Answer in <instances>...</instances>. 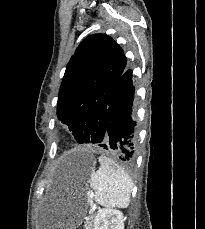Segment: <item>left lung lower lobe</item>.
<instances>
[{
  "mask_svg": "<svg viewBox=\"0 0 205 229\" xmlns=\"http://www.w3.org/2000/svg\"><path fill=\"white\" fill-rule=\"evenodd\" d=\"M134 91L132 71L125 69L111 92L103 124L88 130L91 143L113 152L128 163L135 158L137 140L133 117Z\"/></svg>",
  "mask_w": 205,
  "mask_h": 229,
  "instance_id": "0a47b994",
  "label": "left lung lower lobe"
}]
</instances>
